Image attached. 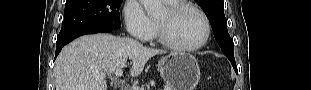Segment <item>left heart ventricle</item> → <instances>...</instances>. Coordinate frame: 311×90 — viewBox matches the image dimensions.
Segmentation results:
<instances>
[{"instance_id": "b2bd125f", "label": "left heart ventricle", "mask_w": 311, "mask_h": 90, "mask_svg": "<svg viewBox=\"0 0 311 90\" xmlns=\"http://www.w3.org/2000/svg\"><path fill=\"white\" fill-rule=\"evenodd\" d=\"M157 19L165 23L171 40L182 46L198 43L205 33L203 20L192 9H183L172 17L164 10Z\"/></svg>"}]
</instances>
